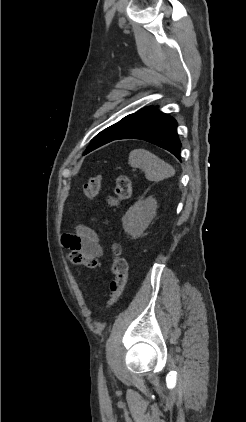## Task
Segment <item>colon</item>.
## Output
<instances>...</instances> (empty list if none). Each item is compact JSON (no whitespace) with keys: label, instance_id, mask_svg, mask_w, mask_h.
Wrapping results in <instances>:
<instances>
[{"label":"colon","instance_id":"1","mask_svg":"<svg viewBox=\"0 0 246 422\" xmlns=\"http://www.w3.org/2000/svg\"><path fill=\"white\" fill-rule=\"evenodd\" d=\"M100 187L101 177L93 176L84 184L83 191L87 197L93 198L98 194ZM131 195L132 183L130 178L126 175H120L116 180L114 193L106 198L107 210H112L118 207L123 201L129 199ZM92 222L104 228L106 227L108 220L105 217H94ZM104 233L108 235V232L105 231ZM110 254L112 258L111 272L113 274V280L110 283L111 297L108 302L109 308L115 306L119 302L125 290L128 275L127 262L122 257L121 248L117 243H112L110 245ZM68 258L71 263L84 265L90 269H94L98 265L96 258L77 250L71 251Z\"/></svg>","mask_w":246,"mask_h":422}]
</instances>
